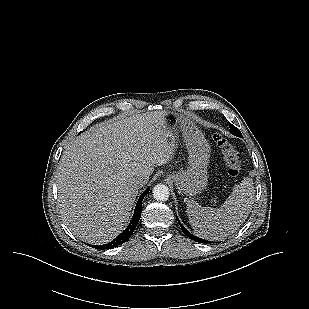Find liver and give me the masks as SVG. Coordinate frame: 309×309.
<instances>
[{
	"instance_id": "6515ba94",
	"label": "liver",
	"mask_w": 309,
	"mask_h": 309,
	"mask_svg": "<svg viewBox=\"0 0 309 309\" xmlns=\"http://www.w3.org/2000/svg\"><path fill=\"white\" fill-rule=\"evenodd\" d=\"M176 133L163 112L101 123L63 152L57 168L58 208L63 222L81 240L105 244L126 226L138 194L135 177L147 182L155 166L172 160Z\"/></svg>"
}]
</instances>
